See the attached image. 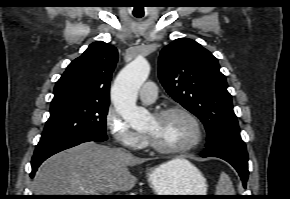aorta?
<instances>
[{
	"instance_id": "aorta-1",
	"label": "aorta",
	"mask_w": 290,
	"mask_h": 199,
	"mask_svg": "<svg viewBox=\"0 0 290 199\" xmlns=\"http://www.w3.org/2000/svg\"><path fill=\"white\" fill-rule=\"evenodd\" d=\"M150 73V65L140 57L125 66L112 86V101L116 111L134 129L148 125L150 113L136 105L137 93Z\"/></svg>"
}]
</instances>
